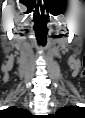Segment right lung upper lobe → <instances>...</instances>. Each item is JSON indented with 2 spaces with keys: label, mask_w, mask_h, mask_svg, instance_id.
Segmentation results:
<instances>
[{
  "label": "right lung upper lobe",
  "mask_w": 85,
  "mask_h": 118,
  "mask_svg": "<svg viewBox=\"0 0 85 118\" xmlns=\"http://www.w3.org/2000/svg\"><path fill=\"white\" fill-rule=\"evenodd\" d=\"M8 111L19 112V111H25V110L17 109V108L11 107V108L8 109Z\"/></svg>",
  "instance_id": "obj_1"
}]
</instances>
